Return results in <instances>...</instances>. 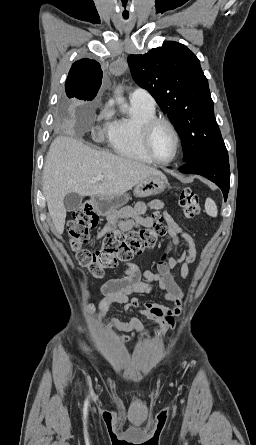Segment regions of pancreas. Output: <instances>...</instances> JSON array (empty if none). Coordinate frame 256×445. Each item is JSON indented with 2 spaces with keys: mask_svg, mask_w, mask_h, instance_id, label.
Segmentation results:
<instances>
[{
  "mask_svg": "<svg viewBox=\"0 0 256 445\" xmlns=\"http://www.w3.org/2000/svg\"><path fill=\"white\" fill-rule=\"evenodd\" d=\"M142 205L144 206V208H145V204L144 203H142Z\"/></svg>",
  "mask_w": 256,
  "mask_h": 445,
  "instance_id": "1",
  "label": "pancreas"
}]
</instances>
